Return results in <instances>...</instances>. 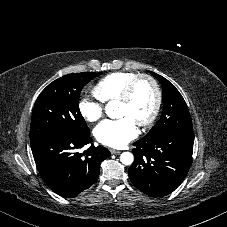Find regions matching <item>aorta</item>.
Here are the masks:
<instances>
[{
    "label": "aorta",
    "mask_w": 227,
    "mask_h": 227,
    "mask_svg": "<svg viewBox=\"0 0 227 227\" xmlns=\"http://www.w3.org/2000/svg\"><path fill=\"white\" fill-rule=\"evenodd\" d=\"M105 111L108 117L112 118L114 117V104L113 102H109L106 107ZM120 161L124 165H131L134 161L133 154L130 152H123L120 156Z\"/></svg>",
    "instance_id": "aorta-1"
}]
</instances>
